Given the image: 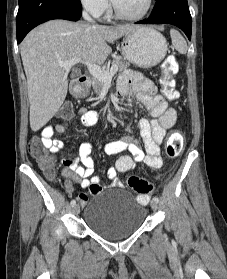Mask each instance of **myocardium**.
Listing matches in <instances>:
<instances>
[{
	"instance_id": "myocardium-1",
	"label": "myocardium",
	"mask_w": 227,
	"mask_h": 279,
	"mask_svg": "<svg viewBox=\"0 0 227 279\" xmlns=\"http://www.w3.org/2000/svg\"><path fill=\"white\" fill-rule=\"evenodd\" d=\"M152 6H153V0H147L146 1V6H145L143 11H141L140 13L135 14V15H129V14H124L123 12H121L119 10V8L115 5L113 0L111 2V7H112L114 15L117 18L124 19V20H140V19H142V18H144L145 16L148 15V13L152 9Z\"/></svg>"
}]
</instances>
